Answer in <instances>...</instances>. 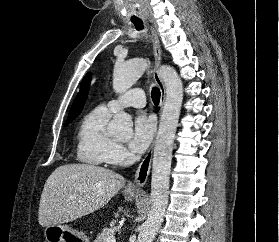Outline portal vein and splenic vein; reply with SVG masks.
Here are the masks:
<instances>
[{"instance_id": "obj_1", "label": "portal vein and splenic vein", "mask_w": 279, "mask_h": 242, "mask_svg": "<svg viewBox=\"0 0 279 242\" xmlns=\"http://www.w3.org/2000/svg\"><path fill=\"white\" fill-rule=\"evenodd\" d=\"M106 242H116L115 236H114V235L109 236V237L106 239Z\"/></svg>"}]
</instances>
